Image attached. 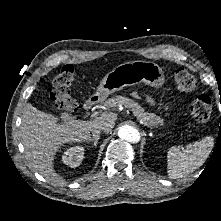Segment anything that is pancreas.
<instances>
[{"mask_svg":"<svg viewBox=\"0 0 221 221\" xmlns=\"http://www.w3.org/2000/svg\"><path fill=\"white\" fill-rule=\"evenodd\" d=\"M104 104L107 107H116L117 104H122L124 107L130 108L134 116L149 128H157L164 123L163 119L159 116H156L154 113L145 112L143 107L128 97L118 95L106 100Z\"/></svg>","mask_w":221,"mask_h":221,"instance_id":"cf45deb5","label":"pancreas"}]
</instances>
